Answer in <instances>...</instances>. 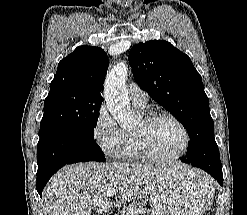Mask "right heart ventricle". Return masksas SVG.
Here are the masks:
<instances>
[{"label": "right heart ventricle", "instance_id": "e07e8e85", "mask_svg": "<svg viewBox=\"0 0 247 215\" xmlns=\"http://www.w3.org/2000/svg\"><path fill=\"white\" fill-rule=\"evenodd\" d=\"M124 138L119 157L127 161L144 160L146 157L139 148L134 132L123 131Z\"/></svg>", "mask_w": 247, "mask_h": 215}]
</instances>
